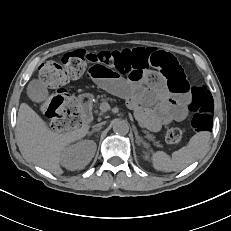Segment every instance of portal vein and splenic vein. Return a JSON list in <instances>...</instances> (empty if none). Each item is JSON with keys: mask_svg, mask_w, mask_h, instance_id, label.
<instances>
[{"mask_svg": "<svg viewBox=\"0 0 231 231\" xmlns=\"http://www.w3.org/2000/svg\"><path fill=\"white\" fill-rule=\"evenodd\" d=\"M99 108L101 112H107L110 109V105L108 102H103L100 104Z\"/></svg>", "mask_w": 231, "mask_h": 231, "instance_id": "1", "label": "portal vein and splenic vein"}]
</instances>
